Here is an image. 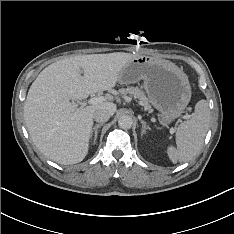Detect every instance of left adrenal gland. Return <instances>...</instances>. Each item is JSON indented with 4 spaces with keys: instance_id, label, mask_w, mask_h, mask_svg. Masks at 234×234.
I'll use <instances>...</instances> for the list:
<instances>
[{
    "instance_id": "a2214340",
    "label": "left adrenal gland",
    "mask_w": 234,
    "mask_h": 234,
    "mask_svg": "<svg viewBox=\"0 0 234 234\" xmlns=\"http://www.w3.org/2000/svg\"><path fill=\"white\" fill-rule=\"evenodd\" d=\"M142 123V130H141V135L143 136L146 133V130H150L151 128L146 124L144 120H140Z\"/></svg>"
}]
</instances>
